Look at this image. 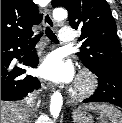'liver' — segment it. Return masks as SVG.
Returning <instances> with one entry per match:
<instances>
[{"label":"liver","mask_w":122,"mask_h":123,"mask_svg":"<svg viewBox=\"0 0 122 123\" xmlns=\"http://www.w3.org/2000/svg\"><path fill=\"white\" fill-rule=\"evenodd\" d=\"M28 117L22 106L1 101V123H28Z\"/></svg>","instance_id":"6515ba94"}]
</instances>
